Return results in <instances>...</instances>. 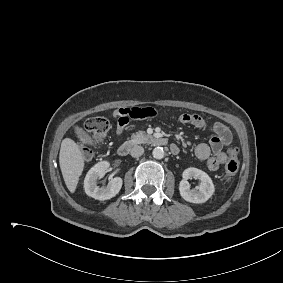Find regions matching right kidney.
Listing matches in <instances>:
<instances>
[{
  "label": "right kidney",
  "mask_w": 283,
  "mask_h": 283,
  "mask_svg": "<svg viewBox=\"0 0 283 283\" xmlns=\"http://www.w3.org/2000/svg\"><path fill=\"white\" fill-rule=\"evenodd\" d=\"M109 167L107 161H102L88 171L84 180V189L88 196L97 200H108L119 193L122 187L120 177L112 178L105 187L97 186L98 178L104 176L109 171Z\"/></svg>",
  "instance_id": "ca27d5eb"
}]
</instances>
